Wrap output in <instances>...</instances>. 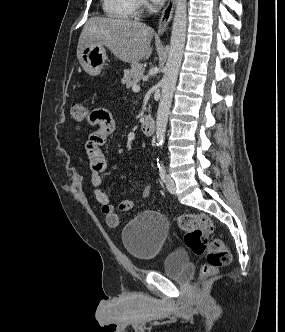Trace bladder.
I'll use <instances>...</instances> for the list:
<instances>
[{
  "instance_id": "obj_1",
  "label": "bladder",
  "mask_w": 285,
  "mask_h": 332,
  "mask_svg": "<svg viewBox=\"0 0 285 332\" xmlns=\"http://www.w3.org/2000/svg\"><path fill=\"white\" fill-rule=\"evenodd\" d=\"M167 219L157 211H144L134 217L122 230L121 240L127 252L136 259L157 257L169 235ZM164 272L168 277L184 280L191 273L189 255L176 250L165 259Z\"/></svg>"
}]
</instances>
